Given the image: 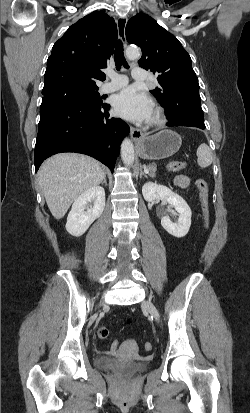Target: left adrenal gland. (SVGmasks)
<instances>
[{
  "mask_svg": "<svg viewBox=\"0 0 250 413\" xmlns=\"http://www.w3.org/2000/svg\"><path fill=\"white\" fill-rule=\"evenodd\" d=\"M143 168H146V166H145V165H143ZM142 176H144V177L148 178L147 174H146V173H144V172L142 171V169H140V178H142Z\"/></svg>",
  "mask_w": 250,
  "mask_h": 413,
  "instance_id": "obj_1",
  "label": "left adrenal gland"
}]
</instances>
